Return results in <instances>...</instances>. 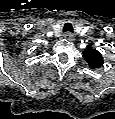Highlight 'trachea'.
<instances>
[{
	"label": "trachea",
	"mask_w": 115,
	"mask_h": 119,
	"mask_svg": "<svg viewBox=\"0 0 115 119\" xmlns=\"http://www.w3.org/2000/svg\"><path fill=\"white\" fill-rule=\"evenodd\" d=\"M63 32H73V24L71 22H67L65 21L62 24V28Z\"/></svg>",
	"instance_id": "1"
}]
</instances>
